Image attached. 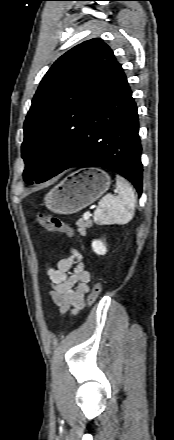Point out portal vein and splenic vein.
Listing matches in <instances>:
<instances>
[{
    "instance_id": "1",
    "label": "portal vein and splenic vein",
    "mask_w": 174,
    "mask_h": 440,
    "mask_svg": "<svg viewBox=\"0 0 174 440\" xmlns=\"http://www.w3.org/2000/svg\"><path fill=\"white\" fill-rule=\"evenodd\" d=\"M89 218H90V213L89 212H86L85 214H84V220H89Z\"/></svg>"
}]
</instances>
